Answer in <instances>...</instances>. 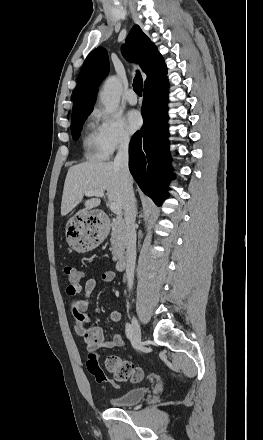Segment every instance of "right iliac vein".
<instances>
[{
	"label": "right iliac vein",
	"instance_id": "obj_1",
	"mask_svg": "<svg viewBox=\"0 0 263 440\" xmlns=\"http://www.w3.org/2000/svg\"><path fill=\"white\" fill-rule=\"evenodd\" d=\"M132 336H133L134 343L136 345H140L141 344V328H140L139 321L137 320L136 317H133V321H132Z\"/></svg>",
	"mask_w": 263,
	"mask_h": 440
}]
</instances>
